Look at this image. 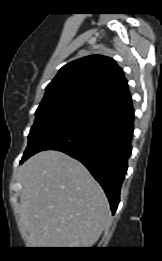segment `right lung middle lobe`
Segmentation results:
<instances>
[{
	"mask_svg": "<svg viewBox=\"0 0 162 261\" xmlns=\"http://www.w3.org/2000/svg\"><path fill=\"white\" fill-rule=\"evenodd\" d=\"M102 105L81 92L46 96L36 110V120L29 134L24 155L34 151L42 140L64 124Z\"/></svg>",
	"mask_w": 162,
	"mask_h": 261,
	"instance_id": "right-lung-middle-lobe-1",
	"label": "right lung middle lobe"
}]
</instances>
